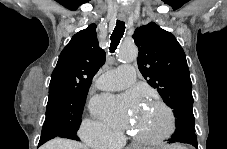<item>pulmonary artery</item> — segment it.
Wrapping results in <instances>:
<instances>
[{
    "instance_id": "1",
    "label": "pulmonary artery",
    "mask_w": 227,
    "mask_h": 149,
    "mask_svg": "<svg viewBox=\"0 0 227 149\" xmlns=\"http://www.w3.org/2000/svg\"><path fill=\"white\" fill-rule=\"evenodd\" d=\"M135 80V68L123 65L100 75L97 87L102 90H120L130 86Z\"/></svg>"
}]
</instances>
